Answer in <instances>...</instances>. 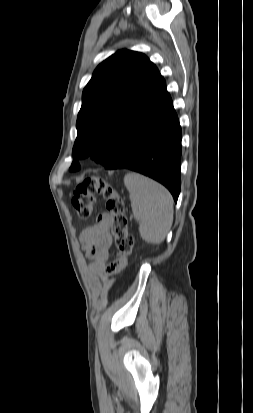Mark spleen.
Returning a JSON list of instances; mask_svg holds the SVG:
<instances>
[{
    "instance_id": "3e777b00",
    "label": "spleen",
    "mask_w": 253,
    "mask_h": 413,
    "mask_svg": "<svg viewBox=\"0 0 253 413\" xmlns=\"http://www.w3.org/2000/svg\"><path fill=\"white\" fill-rule=\"evenodd\" d=\"M134 216L139 220V233L150 244L164 241L173 223V198L154 180L135 172L124 177Z\"/></svg>"
}]
</instances>
